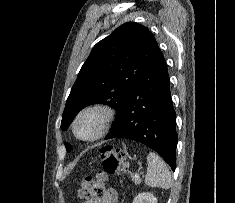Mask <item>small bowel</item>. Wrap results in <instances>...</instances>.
I'll return each mask as SVG.
<instances>
[{"label":"small bowel","mask_w":235,"mask_h":203,"mask_svg":"<svg viewBox=\"0 0 235 203\" xmlns=\"http://www.w3.org/2000/svg\"><path fill=\"white\" fill-rule=\"evenodd\" d=\"M86 203H118V192L114 188H108L103 197L90 200Z\"/></svg>","instance_id":"1"}]
</instances>
